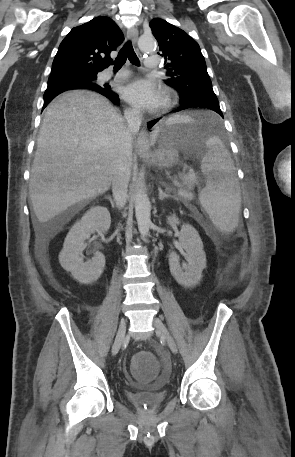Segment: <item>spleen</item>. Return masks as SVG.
I'll list each match as a JSON object with an SVG mask.
<instances>
[{"label": "spleen", "mask_w": 295, "mask_h": 457, "mask_svg": "<svg viewBox=\"0 0 295 457\" xmlns=\"http://www.w3.org/2000/svg\"><path fill=\"white\" fill-rule=\"evenodd\" d=\"M192 117L175 115L167 123L190 121ZM207 152L201 161L206 186L199 193V201L215 227L231 233L238 225L241 193L230 153L215 136L206 141Z\"/></svg>", "instance_id": "3e777b00"}]
</instances>
